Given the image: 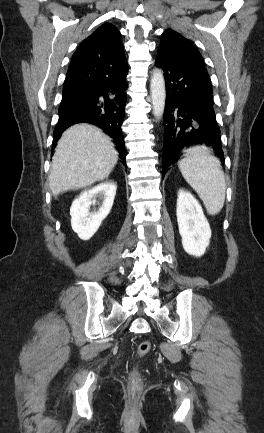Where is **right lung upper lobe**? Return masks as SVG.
Wrapping results in <instances>:
<instances>
[{
    "label": "right lung upper lobe",
    "mask_w": 264,
    "mask_h": 433,
    "mask_svg": "<svg viewBox=\"0 0 264 433\" xmlns=\"http://www.w3.org/2000/svg\"><path fill=\"white\" fill-rule=\"evenodd\" d=\"M125 61L120 32L113 24L105 23L82 41L73 54L70 66L97 62L118 65Z\"/></svg>",
    "instance_id": "obj_1"
}]
</instances>
